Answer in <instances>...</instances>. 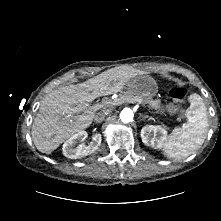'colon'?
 Returning a JSON list of instances; mask_svg holds the SVG:
<instances>
[{
    "label": "colon",
    "mask_w": 221,
    "mask_h": 221,
    "mask_svg": "<svg viewBox=\"0 0 221 221\" xmlns=\"http://www.w3.org/2000/svg\"><path fill=\"white\" fill-rule=\"evenodd\" d=\"M169 97L177 102H182L184 101L186 95H187V90L183 87H173L169 90Z\"/></svg>",
    "instance_id": "colon-1"
}]
</instances>
